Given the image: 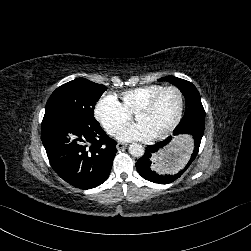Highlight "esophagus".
Wrapping results in <instances>:
<instances>
[{
  "mask_svg": "<svg viewBox=\"0 0 251 251\" xmlns=\"http://www.w3.org/2000/svg\"><path fill=\"white\" fill-rule=\"evenodd\" d=\"M124 147H125V144L122 143V142H118L117 145H116V148H117V150H119V151L122 150Z\"/></svg>",
  "mask_w": 251,
  "mask_h": 251,
  "instance_id": "34e87169",
  "label": "esophagus"
}]
</instances>
